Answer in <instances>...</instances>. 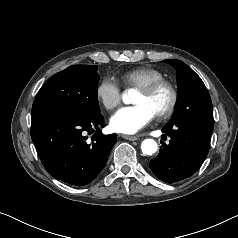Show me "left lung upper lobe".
I'll list each match as a JSON object with an SVG mask.
<instances>
[{
	"mask_svg": "<svg viewBox=\"0 0 238 238\" xmlns=\"http://www.w3.org/2000/svg\"><path fill=\"white\" fill-rule=\"evenodd\" d=\"M177 70L178 101L169 123L214 126L210 95L201 78L180 60H165Z\"/></svg>",
	"mask_w": 238,
	"mask_h": 238,
	"instance_id": "left-lung-upper-lobe-1",
	"label": "left lung upper lobe"
}]
</instances>
